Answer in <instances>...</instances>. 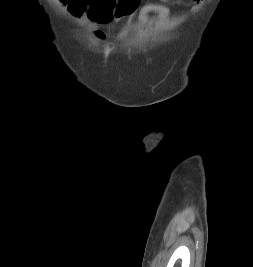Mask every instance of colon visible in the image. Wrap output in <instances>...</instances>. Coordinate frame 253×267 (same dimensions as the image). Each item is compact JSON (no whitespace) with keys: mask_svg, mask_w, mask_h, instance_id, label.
Instances as JSON below:
<instances>
[{"mask_svg":"<svg viewBox=\"0 0 253 267\" xmlns=\"http://www.w3.org/2000/svg\"><path fill=\"white\" fill-rule=\"evenodd\" d=\"M63 2H66V0H63ZM96 36H97L99 39H103L104 34H103L102 31H97V32H96Z\"/></svg>","mask_w":253,"mask_h":267,"instance_id":"colon-1","label":"colon"}]
</instances>
